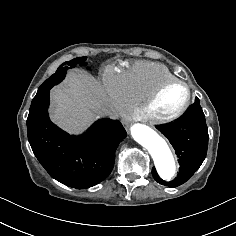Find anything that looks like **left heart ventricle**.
<instances>
[{
    "label": "left heart ventricle",
    "instance_id": "left-heart-ventricle-1",
    "mask_svg": "<svg viewBox=\"0 0 236 236\" xmlns=\"http://www.w3.org/2000/svg\"><path fill=\"white\" fill-rule=\"evenodd\" d=\"M186 96L184 87L174 85L167 88L157 100L154 113L160 117L173 114L183 104Z\"/></svg>",
    "mask_w": 236,
    "mask_h": 236
}]
</instances>
